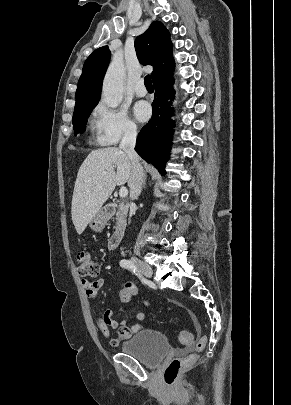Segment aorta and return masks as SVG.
<instances>
[{
	"label": "aorta",
	"instance_id": "1",
	"mask_svg": "<svg viewBox=\"0 0 291 405\" xmlns=\"http://www.w3.org/2000/svg\"><path fill=\"white\" fill-rule=\"evenodd\" d=\"M125 66L122 57L114 56L105 74L102 86L104 103L116 108L123 99Z\"/></svg>",
	"mask_w": 291,
	"mask_h": 405
}]
</instances>
